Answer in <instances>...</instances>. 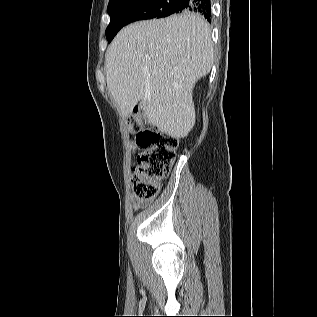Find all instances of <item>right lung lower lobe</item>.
<instances>
[{
    "label": "right lung lower lobe",
    "mask_w": 317,
    "mask_h": 317,
    "mask_svg": "<svg viewBox=\"0 0 317 317\" xmlns=\"http://www.w3.org/2000/svg\"><path fill=\"white\" fill-rule=\"evenodd\" d=\"M176 13L192 12L203 15L209 22L211 16L210 0H175Z\"/></svg>",
    "instance_id": "1"
}]
</instances>
